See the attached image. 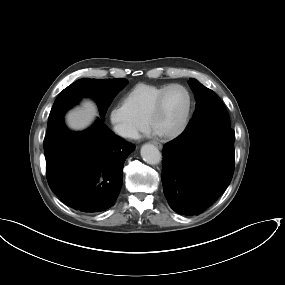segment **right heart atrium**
Instances as JSON below:
<instances>
[{"instance_id":"1","label":"right heart atrium","mask_w":285,"mask_h":285,"mask_svg":"<svg viewBox=\"0 0 285 285\" xmlns=\"http://www.w3.org/2000/svg\"><path fill=\"white\" fill-rule=\"evenodd\" d=\"M108 120L113 132L125 140L136 138L138 132L146 128L145 122L133 116L124 103L109 108Z\"/></svg>"}]
</instances>
